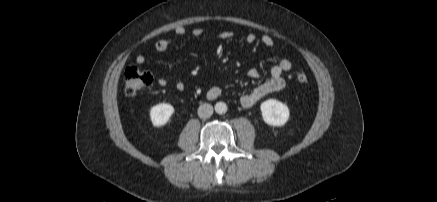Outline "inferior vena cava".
Masks as SVG:
<instances>
[{
    "label": "inferior vena cava",
    "mask_w": 437,
    "mask_h": 202,
    "mask_svg": "<svg viewBox=\"0 0 437 202\" xmlns=\"http://www.w3.org/2000/svg\"><path fill=\"white\" fill-rule=\"evenodd\" d=\"M213 114V107L208 103H204L198 108V116L200 118L206 119L209 118Z\"/></svg>",
    "instance_id": "inferior-vena-cava-1"
}]
</instances>
